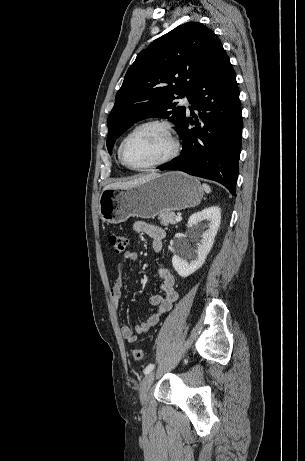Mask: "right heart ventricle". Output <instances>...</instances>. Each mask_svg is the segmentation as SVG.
Listing matches in <instances>:
<instances>
[{"label": "right heart ventricle", "instance_id": "obj_1", "mask_svg": "<svg viewBox=\"0 0 305 461\" xmlns=\"http://www.w3.org/2000/svg\"><path fill=\"white\" fill-rule=\"evenodd\" d=\"M120 147V146H119ZM117 155H118V159L120 160V162L123 164L121 158H120V152H119V148H118V151H117Z\"/></svg>", "mask_w": 305, "mask_h": 461}]
</instances>
